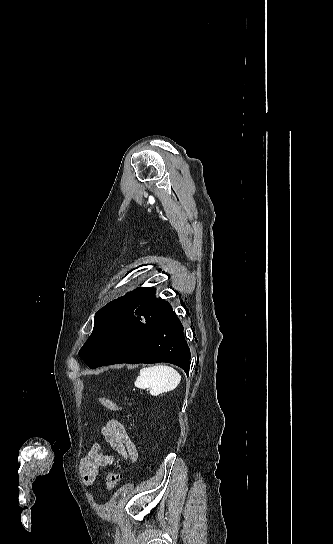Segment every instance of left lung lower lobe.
<instances>
[{"mask_svg": "<svg viewBox=\"0 0 333 544\" xmlns=\"http://www.w3.org/2000/svg\"><path fill=\"white\" fill-rule=\"evenodd\" d=\"M101 352L103 360L96 367L168 362L181 367L187 374L191 358L183 325L172 309L150 325L135 324L129 342L121 351L107 347L101 348Z\"/></svg>", "mask_w": 333, "mask_h": 544, "instance_id": "0a47b994", "label": "left lung lower lobe"}]
</instances>
